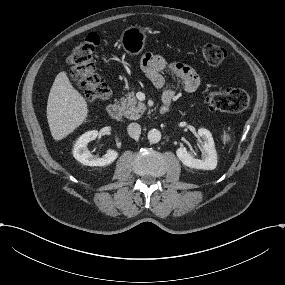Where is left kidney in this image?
<instances>
[{
	"label": "left kidney",
	"mask_w": 285,
	"mask_h": 285,
	"mask_svg": "<svg viewBox=\"0 0 285 285\" xmlns=\"http://www.w3.org/2000/svg\"><path fill=\"white\" fill-rule=\"evenodd\" d=\"M198 135L204 140L202 147L207 154L206 159H195L189 153L187 147H179L176 155L187 167L197 170H214L217 167L216 151L211 133L206 129H199Z\"/></svg>",
	"instance_id": "1"
}]
</instances>
